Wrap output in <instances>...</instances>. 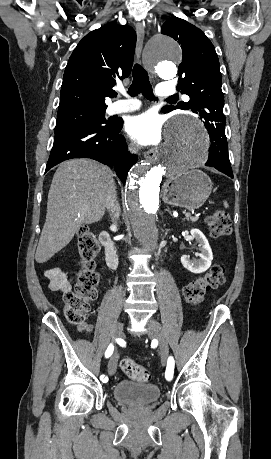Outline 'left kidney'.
I'll return each instance as SVG.
<instances>
[{
    "label": "left kidney",
    "mask_w": 271,
    "mask_h": 459,
    "mask_svg": "<svg viewBox=\"0 0 271 459\" xmlns=\"http://www.w3.org/2000/svg\"><path fill=\"white\" fill-rule=\"evenodd\" d=\"M190 233L192 237H196L197 241H199L200 259H190L189 255H181V263H183L184 267L193 271V273H202V271H206L211 265L213 259L212 249L208 243V239H206L200 229H190Z\"/></svg>",
    "instance_id": "1"
}]
</instances>
